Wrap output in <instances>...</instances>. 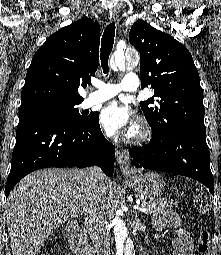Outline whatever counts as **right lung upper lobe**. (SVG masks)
Masks as SVG:
<instances>
[{"mask_svg":"<svg viewBox=\"0 0 221 255\" xmlns=\"http://www.w3.org/2000/svg\"><path fill=\"white\" fill-rule=\"evenodd\" d=\"M100 26L82 17L53 33L34 54L20 109L44 103H76L80 84L90 83L99 63Z\"/></svg>","mask_w":221,"mask_h":255,"instance_id":"1","label":"right lung upper lobe"}]
</instances>
